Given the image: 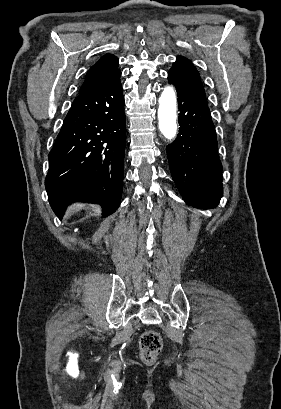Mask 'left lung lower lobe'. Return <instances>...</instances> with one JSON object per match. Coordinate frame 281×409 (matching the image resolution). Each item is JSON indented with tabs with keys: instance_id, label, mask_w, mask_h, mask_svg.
Wrapping results in <instances>:
<instances>
[{
	"instance_id": "0a47b994",
	"label": "left lung lower lobe",
	"mask_w": 281,
	"mask_h": 409,
	"mask_svg": "<svg viewBox=\"0 0 281 409\" xmlns=\"http://www.w3.org/2000/svg\"><path fill=\"white\" fill-rule=\"evenodd\" d=\"M168 82L176 87L180 111L179 133L166 149L172 178L187 204L216 207L223 195L222 165L205 92L171 70Z\"/></svg>"
}]
</instances>
